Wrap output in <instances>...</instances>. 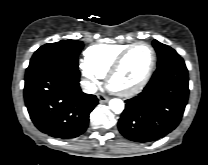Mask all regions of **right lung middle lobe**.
Segmentation results:
<instances>
[{
    "instance_id": "obj_1",
    "label": "right lung middle lobe",
    "mask_w": 208,
    "mask_h": 165,
    "mask_svg": "<svg viewBox=\"0 0 208 165\" xmlns=\"http://www.w3.org/2000/svg\"><path fill=\"white\" fill-rule=\"evenodd\" d=\"M83 48L82 41L61 40L56 43H48L41 46L32 56L29 67L49 59H65L78 65V55Z\"/></svg>"
}]
</instances>
